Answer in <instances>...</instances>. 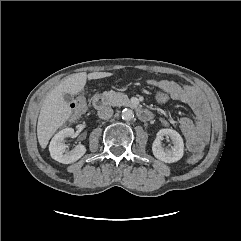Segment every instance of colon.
I'll use <instances>...</instances> for the list:
<instances>
[{"label":"colon","mask_w":241,"mask_h":241,"mask_svg":"<svg viewBox=\"0 0 241 241\" xmlns=\"http://www.w3.org/2000/svg\"><path fill=\"white\" fill-rule=\"evenodd\" d=\"M155 101L159 104H165L167 103L171 97L168 92H166L163 89L157 88L155 94H154ZM87 93L82 92L79 94L72 102L71 108H72V114L70 117V120L72 122L78 120L86 111L87 108ZM201 158L200 154H193L188 157L189 163H197Z\"/></svg>","instance_id":"colon-1"}]
</instances>
